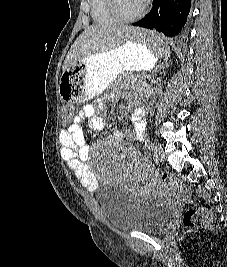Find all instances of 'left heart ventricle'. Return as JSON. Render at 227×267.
Here are the masks:
<instances>
[{"label":"left heart ventricle","instance_id":"left-heart-ventricle-1","mask_svg":"<svg viewBox=\"0 0 227 267\" xmlns=\"http://www.w3.org/2000/svg\"><path fill=\"white\" fill-rule=\"evenodd\" d=\"M142 0H119L121 11L126 15L136 14L143 6Z\"/></svg>","mask_w":227,"mask_h":267}]
</instances>
